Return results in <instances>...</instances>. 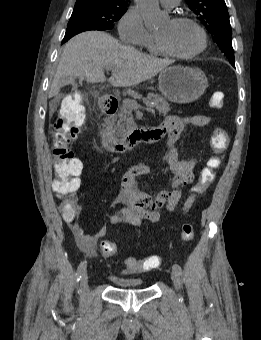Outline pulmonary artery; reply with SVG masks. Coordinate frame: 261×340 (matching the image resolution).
Wrapping results in <instances>:
<instances>
[{
  "label": "pulmonary artery",
  "mask_w": 261,
  "mask_h": 340,
  "mask_svg": "<svg viewBox=\"0 0 261 340\" xmlns=\"http://www.w3.org/2000/svg\"><path fill=\"white\" fill-rule=\"evenodd\" d=\"M160 2L167 7H175L179 4L180 0H160Z\"/></svg>",
  "instance_id": "1"
}]
</instances>
